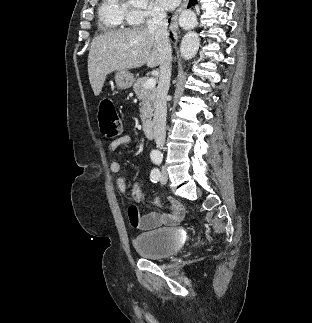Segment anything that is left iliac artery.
Here are the masks:
<instances>
[{
    "instance_id": "44dca946",
    "label": "left iliac artery",
    "mask_w": 312,
    "mask_h": 323,
    "mask_svg": "<svg viewBox=\"0 0 312 323\" xmlns=\"http://www.w3.org/2000/svg\"><path fill=\"white\" fill-rule=\"evenodd\" d=\"M153 161L156 163V164H159L162 159H159V158H153ZM150 179L152 182L156 183L158 180H159V177H160V172L158 169H153L151 171V174H150Z\"/></svg>"
}]
</instances>
